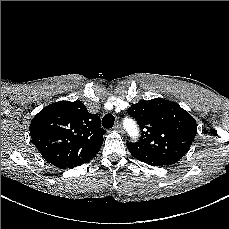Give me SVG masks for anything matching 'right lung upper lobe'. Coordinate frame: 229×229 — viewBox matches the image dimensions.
Returning <instances> with one entry per match:
<instances>
[{"label":"right lung upper lobe","instance_id":"cb5924a9","mask_svg":"<svg viewBox=\"0 0 229 229\" xmlns=\"http://www.w3.org/2000/svg\"><path fill=\"white\" fill-rule=\"evenodd\" d=\"M32 142L56 167L80 166L96 156L106 131L100 118L82 102L59 101L43 108L31 121Z\"/></svg>","mask_w":229,"mask_h":229}]
</instances>
